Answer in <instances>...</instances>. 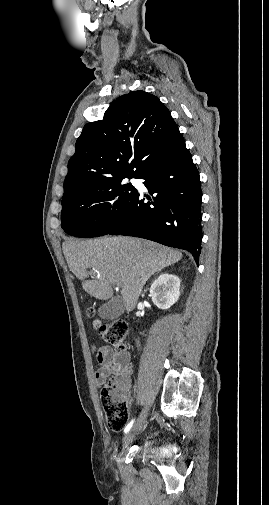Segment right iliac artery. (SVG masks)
Here are the masks:
<instances>
[{"mask_svg": "<svg viewBox=\"0 0 269 505\" xmlns=\"http://www.w3.org/2000/svg\"><path fill=\"white\" fill-rule=\"evenodd\" d=\"M133 423H134V419H133V420H131V421L128 423V425L125 427V429H124V433H127V432L131 429V427L133 426Z\"/></svg>", "mask_w": 269, "mask_h": 505, "instance_id": "obj_1", "label": "right iliac artery"}]
</instances>
